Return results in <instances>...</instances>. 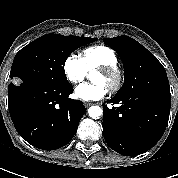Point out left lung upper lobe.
I'll return each instance as SVG.
<instances>
[{
	"instance_id": "obj_1",
	"label": "left lung upper lobe",
	"mask_w": 178,
	"mask_h": 178,
	"mask_svg": "<svg viewBox=\"0 0 178 178\" xmlns=\"http://www.w3.org/2000/svg\"><path fill=\"white\" fill-rule=\"evenodd\" d=\"M120 56L125 80L116 97L135 92H150L171 97L168 77L163 65L139 42L128 36L105 38Z\"/></svg>"
}]
</instances>
